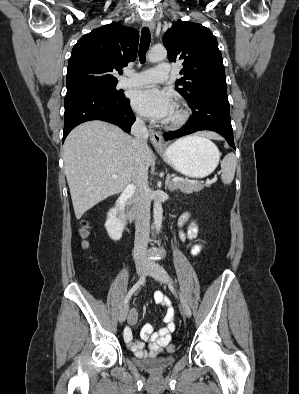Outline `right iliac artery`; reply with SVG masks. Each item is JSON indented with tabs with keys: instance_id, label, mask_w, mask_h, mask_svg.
<instances>
[{
	"instance_id": "82829eb1",
	"label": "right iliac artery",
	"mask_w": 299,
	"mask_h": 394,
	"mask_svg": "<svg viewBox=\"0 0 299 394\" xmlns=\"http://www.w3.org/2000/svg\"><path fill=\"white\" fill-rule=\"evenodd\" d=\"M146 278V275H143L139 281L133 285V287L129 290V292L127 293L125 299H124V306L129 302V300L131 299L132 295L137 291V289L144 283Z\"/></svg>"
}]
</instances>
